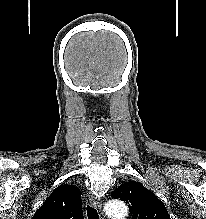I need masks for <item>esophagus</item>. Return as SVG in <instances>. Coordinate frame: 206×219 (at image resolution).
<instances>
[{
    "mask_svg": "<svg viewBox=\"0 0 206 219\" xmlns=\"http://www.w3.org/2000/svg\"><path fill=\"white\" fill-rule=\"evenodd\" d=\"M89 201H90L92 206L98 208L101 211V209H102V200H101L100 197H98L96 195H90Z\"/></svg>",
    "mask_w": 206,
    "mask_h": 219,
    "instance_id": "34e87169",
    "label": "esophagus"
}]
</instances>
